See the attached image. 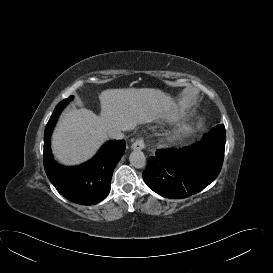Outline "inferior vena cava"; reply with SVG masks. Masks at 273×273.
Returning a JSON list of instances; mask_svg holds the SVG:
<instances>
[{
    "label": "inferior vena cava",
    "instance_id": "inferior-vena-cava-1",
    "mask_svg": "<svg viewBox=\"0 0 273 273\" xmlns=\"http://www.w3.org/2000/svg\"><path fill=\"white\" fill-rule=\"evenodd\" d=\"M108 136L112 139H123L124 138V134L121 132V130H110L108 132Z\"/></svg>",
    "mask_w": 273,
    "mask_h": 273
}]
</instances>
